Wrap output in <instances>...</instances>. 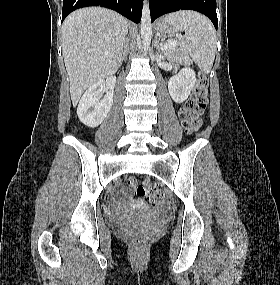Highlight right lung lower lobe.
Instances as JSON below:
<instances>
[{"label": "right lung lower lobe", "mask_w": 280, "mask_h": 285, "mask_svg": "<svg viewBox=\"0 0 280 285\" xmlns=\"http://www.w3.org/2000/svg\"><path fill=\"white\" fill-rule=\"evenodd\" d=\"M87 6L107 7L119 12L133 22L139 23L143 0H64L62 21L70 12Z\"/></svg>", "instance_id": "98d812e1"}]
</instances>
